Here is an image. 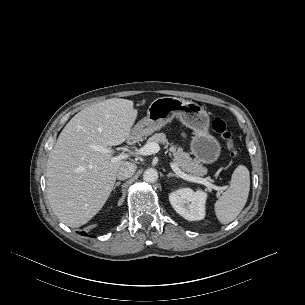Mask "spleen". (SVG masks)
Instances as JSON below:
<instances>
[{
    "instance_id": "1",
    "label": "spleen",
    "mask_w": 305,
    "mask_h": 305,
    "mask_svg": "<svg viewBox=\"0 0 305 305\" xmlns=\"http://www.w3.org/2000/svg\"><path fill=\"white\" fill-rule=\"evenodd\" d=\"M249 190V170L244 165H239L232 174L230 186L214 205L220 223L228 224L240 214L247 202Z\"/></svg>"
}]
</instances>
